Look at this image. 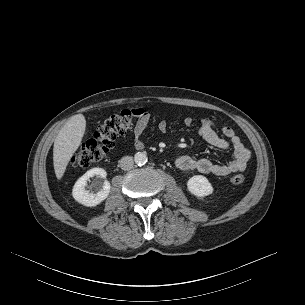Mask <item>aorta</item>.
Returning a JSON list of instances; mask_svg holds the SVG:
<instances>
[{
    "instance_id": "762f6f07",
    "label": "aorta",
    "mask_w": 305,
    "mask_h": 305,
    "mask_svg": "<svg viewBox=\"0 0 305 305\" xmlns=\"http://www.w3.org/2000/svg\"><path fill=\"white\" fill-rule=\"evenodd\" d=\"M134 161L138 166H143L147 163L148 158L145 152H138L134 156Z\"/></svg>"
}]
</instances>
